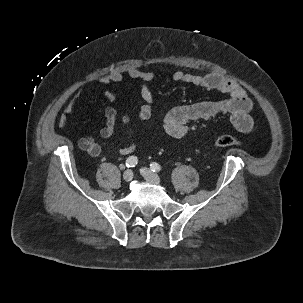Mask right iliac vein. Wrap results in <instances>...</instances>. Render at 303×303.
I'll return each mask as SVG.
<instances>
[{
	"mask_svg": "<svg viewBox=\"0 0 303 303\" xmlns=\"http://www.w3.org/2000/svg\"><path fill=\"white\" fill-rule=\"evenodd\" d=\"M133 179V172L131 170H126L123 173V180L125 182H130Z\"/></svg>",
	"mask_w": 303,
	"mask_h": 303,
	"instance_id": "1",
	"label": "right iliac vein"
}]
</instances>
